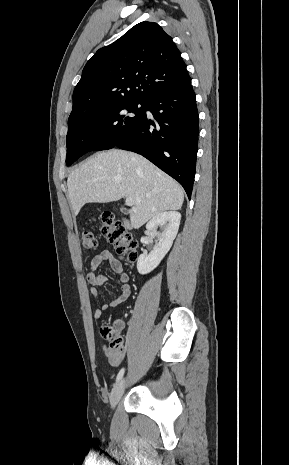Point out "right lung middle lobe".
<instances>
[{"label": "right lung middle lobe", "instance_id": "right-lung-middle-lobe-1", "mask_svg": "<svg viewBox=\"0 0 289 465\" xmlns=\"http://www.w3.org/2000/svg\"><path fill=\"white\" fill-rule=\"evenodd\" d=\"M144 115L145 100L102 101L86 105L80 120L68 129L66 164L71 165L88 151L113 148L130 134Z\"/></svg>", "mask_w": 289, "mask_h": 465}]
</instances>
